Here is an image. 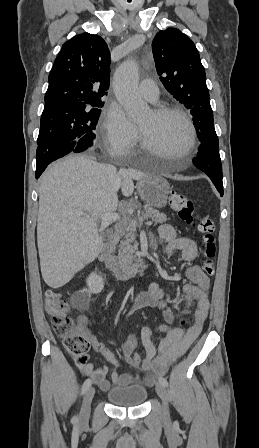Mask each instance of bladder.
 I'll use <instances>...</instances> for the list:
<instances>
[{
	"instance_id": "1",
	"label": "bladder",
	"mask_w": 259,
	"mask_h": 448,
	"mask_svg": "<svg viewBox=\"0 0 259 448\" xmlns=\"http://www.w3.org/2000/svg\"><path fill=\"white\" fill-rule=\"evenodd\" d=\"M108 401L116 406L135 407L147 399V389L142 385L115 387L107 392Z\"/></svg>"
}]
</instances>
